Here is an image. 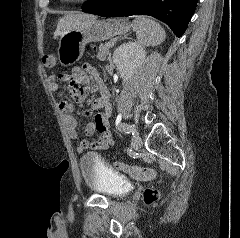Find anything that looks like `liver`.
Here are the masks:
<instances>
[{"mask_svg": "<svg viewBox=\"0 0 240 238\" xmlns=\"http://www.w3.org/2000/svg\"><path fill=\"white\" fill-rule=\"evenodd\" d=\"M92 19H96V16L84 14V13L65 15L58 21L57 29L54 33V37H57L58 35H62L69 30L78 28L84 22Z\"/></svg>", "mask_w": 240, "mask_h": 238, "instance_id": "obj_1", "label": "liver"}]
</instances>
